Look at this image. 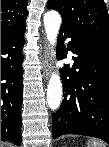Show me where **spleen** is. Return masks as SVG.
Instances as JSON below:
<instances>
[{
  "mask_svg": "<svg viewBox=\"0 0 109 147\" xmlns=\"http://www.w3.org/2000/svg\"><path fill=\"white\" fill-rule=\"evenodd\" d=\"M87 147H107V144L99 139H89L87 143Z\"/></svg>",
  "mask_w": 109,
  "mask_h": 147,
  "instance_id": "3e777b00",
  "label": "spleen"
}]
</instances>
